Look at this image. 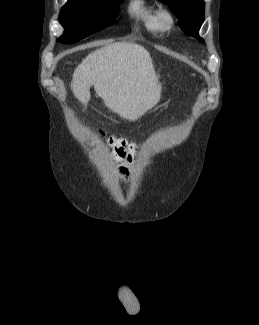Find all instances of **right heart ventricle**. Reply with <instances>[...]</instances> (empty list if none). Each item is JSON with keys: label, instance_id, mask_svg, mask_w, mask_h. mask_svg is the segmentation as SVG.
<instances>
[{"label": "right heart ventricle", "instance_id": "obj_1", "mask_svg": "<svg viewBox=\"0 0 259 325\" xmlns=\"http://www.w3.org/2000/svg\"><path fill=\"white\" fill-rule=\"evenodd\" d=\"M159 6L149 0H132L130 12L151 32L162 31L158 21Z\"/></svg>", "mask_w": 259, "mask_h": 325}]
</instances>
